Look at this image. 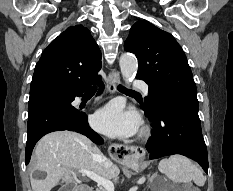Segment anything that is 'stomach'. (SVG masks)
Wrapping results in <instances>:
<instances>
[{
  "label": "stomach",
  "instance_id": "1",
  "mask_svg": "<svg viewBox=\"0 0 233 191\" xmlns=\"http://www.w3.org/2000/svg\"><path fill=\"white\" fill-rule=\"evenodd\" d=\"M133 167H134V168H137V164H134Z\"/></svg>",
  "mask_w": 233,
  "mask_h": 191
}]
</instances>
